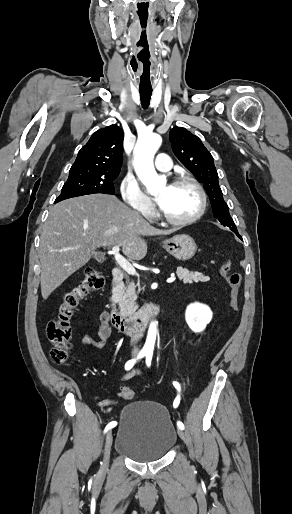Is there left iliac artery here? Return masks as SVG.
<instances>
[{
    "mask_svg": "<svg viewBox=\"0 0 292 514\" xmlns=\"http://www.w3.org/2000/svg\"><path fill=\"white\" fill-rule=\"evenodd\" d=\"M151 361H152V352H148L146 355V365L148 367L151 366ZM173 386L177 389L178 392H180L181 386L177 381H173ZM179 402H180V398L178 396L173 403L174 408H176L179 405ZM177 426L179 429H182V430H184V428H185L184 424L181 421H177Z\"/></svg>",
    "mask_w": 292,
    "mask_h": 514,
    "instance_id": "obj_1",
    "label": "left iliac artery"
}]
</instances>
